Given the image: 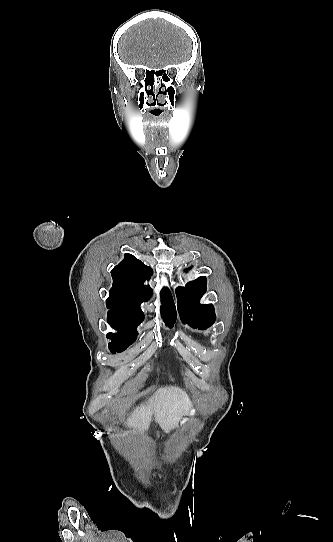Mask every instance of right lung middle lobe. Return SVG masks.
Segmentation results:
<instances>
[{"mask_svg":"<svg viewBox=\"0 0 333 542\" xmlns=\"http://www.w3.org/2000/svg\"><path fill=\"white\" fill-rule=\"evenodd\" d=\"M107 321L118 331V333L107 334V338L111 339L109 349L112 353L122 352L135 342L138 335L137 326L142 322L138 319L117 316H108Z\"/></svg>","mask_w":333,"mask_h":542,"instance_id":"right-lung-middle-lobe-1","label":"right lung middle lobe"}]
</instances>
